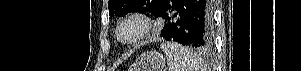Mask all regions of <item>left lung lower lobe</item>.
Masks as SVG:
<instances>
[{
    "label": "left lung lower lobe",
    "mask_w": 301,
    "mask_h": 71,
    "mask_svg": "<svg viewBox=\"0 0 301 71\" xmlns=\"http://www.w3.org/2000/svg\"><path fill=\"white\" fill-rule=\"evenodd\" d=\"M157 17L166 21L161 30L165 40L198 49L212 46L211 0H163Z\"/></svg>",
    "instance_id": "obj_1"
}]
</instances>
